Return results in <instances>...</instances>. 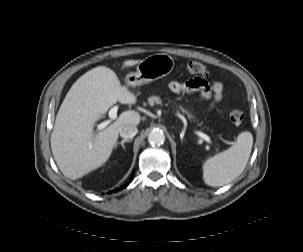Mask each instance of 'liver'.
I'll use <instances>...</instances> for the list:
<instances>
[{
	"instance_id": "obj_1",
	"label": "liver",
	"mask_w": 303,
	"mask_h": 252,
	"mask_svg": "<svg viewBox=\"0 0 303 252\" xmlns=\"http://www.w3.org/2000/svg\"><path fill=\"white\" fill-rule=\"evenodd\" d=\"M139 62L126 60L123 67ZM118 101L135 104L137 99L120 84L115 72L105 66L89 70L72 85L59 108L50 139L54 159L64 176L76 180L103 165L116 145L119 129L140 123V114L128 110L95 133V121Z\"/></svg>"
}]
</instances>
